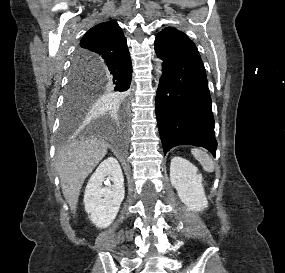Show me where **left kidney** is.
<instances>
[{
    "label": "left kidney",
    "mask_w": 285,
    "mask_h": 273,
    "mask_svg": "<svg viewBox=\"0 0 285 273\" xmlns=\"http://www.w3.org/2000/svg\"><path fill=\"white\" fill-rule=\"evenodd\" d=\"M188 160L175 156L170 165V181L177 190L180 200L191 211H202L208 206L202 175Z\"/></svg>",
    "instance_id": "left-kidney-1"
}]
</instances>
